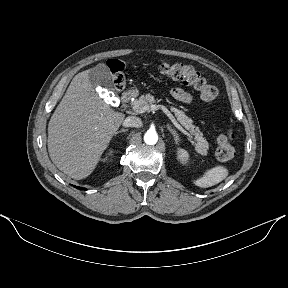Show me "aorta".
I'll return each mask as SVG.
<instances>
[{"instance_id": "1", "label": "aorta", "mask_w": 288, "mask_h": 288, "mask_svg": "<svg viewBox=\"0 0 288 288\" xmlns=\"http://www.w3.org/2000/svg\"><path fill=\"white\" fill-rule=\"evenodd\" d=\"M144 141L148 145H154L158 141V135L155 131H147L144 135Z\"/></svg>"}]
</instances>
